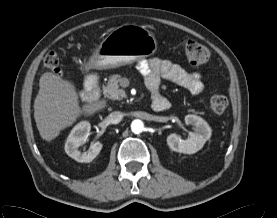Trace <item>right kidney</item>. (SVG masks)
Listing matches in <instances>:
<instances>
[{"label": "right kidney", "instance_id": "obj_1", "mask_svg": "<svg viewBox=\"0 0 277 218\" xmlns=\"http://www.w3.org/2000/svg\"><path fill=\"white\" fill-rule=\"evenodd\" d=\"M91 130V124L88 121H81L71 130L66 143L65 152L68 156L81 163L93 161L102 149V143L95 142L87 152L78 150L87 139Z\"/></svg>", "mask_w": 277, "mask_h": 218}]
</instances>
